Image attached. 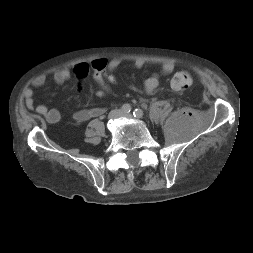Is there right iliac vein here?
<instances>
[{
	"label": "right iliac vein",
	"instance_id": "1",
	"mask_svg": "<svg viewBox=\"0 0 253 253\" xmlns=\"http://www.w3.org/2000/svg\"><path fill=\"white\" fill-rule=\"evenodd\" d=\"M123 116V112L121 110H113L110 112L109 114V118L110 119H116V118H119V117H122Z\"/></svg>",
	"mask_w": 253,
	"mask_h": 253
}]
</instances>
